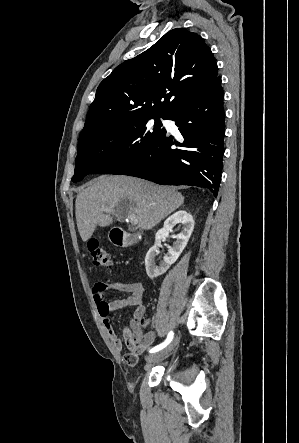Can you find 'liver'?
<instances>
[{
    "label": "liver",
    "mask_w": 299,
    "mask_h": 443,
    "mask_svg": "<svg viewBox=\"0 0 299 443\" xmlns=\"http://www.w3.org/2000/svg\"><path fill=\"white\" fill-rule=\"evenodd\" d=\"M184 203V196L171 188L127 176L102 175L83 188L75 202L78 231L84 242L96 226H108L134 214L141 230H150ZM108 208L112 212L104 213Z\"/></svg>",
    "instance_id": "6515ba94"
}]
</instances>
